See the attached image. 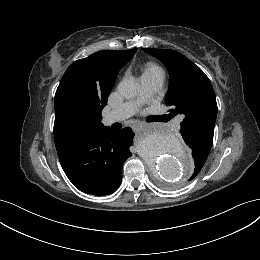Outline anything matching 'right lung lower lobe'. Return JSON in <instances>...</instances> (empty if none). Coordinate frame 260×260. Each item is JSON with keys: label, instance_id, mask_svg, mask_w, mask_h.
I'll use <instances>...</instances> for the list:
<instances>
[{"label": "right lung lower lobe", "instance_id": "1", "mask_svg": "<svg viewBox=\"0 0 260 260\" xmlns=\"http://www.w3.org/2000/svg\"><path fill=\"white\" fill-rule=\"evenodd\" d=\"M131 128L109 127L86 132L57 150L61 166L80 191L96 196L115 192L122 181V166L131 156Z\"/></svg>", "mask_w": 260, "mask_h": 260}]
</instances>
